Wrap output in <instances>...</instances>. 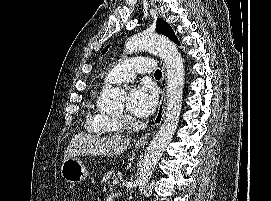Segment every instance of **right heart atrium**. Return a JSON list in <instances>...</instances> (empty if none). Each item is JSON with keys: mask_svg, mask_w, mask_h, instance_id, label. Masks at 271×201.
Masks as SVG:
<instances>
[{"mask_svg": "<svg viewBox=\"0 0 271 201\" xmlns=\"http://www.w3.org/2000/svg\"><path fill=\"white\" fill-rule=\"evenodd\" d=\"M117 120L119 121V123L123 126V127H128L131 125V118L127 115H122L120 117L117 118Z\"/></svg>", "mask_w": 271, "mask_h": 201, "instance_id": "1", "label": "right heart atrium"}]
</instances>
